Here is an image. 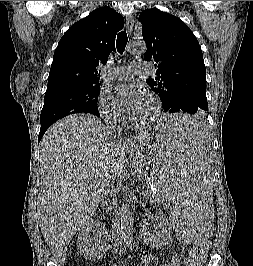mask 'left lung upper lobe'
I'll return each instance as SVG.
<instances>
[{"instance_id":"5c2ea615","label":"left lung upper lobe","mask_w":253,"mask_h":266,"mask_svg":"<svg viewBox=\"0 0 253 266\" xmlns=\"http://www.w3.org/2000/svg\"><path fill=\"white\" fill-rule=\"evenodd\" d=\"M147 45L145 60L155 61V78L148 79L158 94L165 112L175 113L185 98L195 100L201 108L197 117L205 120L206 68L202 50L193 32L178 17L159 9H147L138 19Z\"/></svg>"}]
</instances>
